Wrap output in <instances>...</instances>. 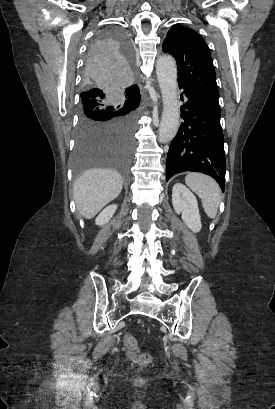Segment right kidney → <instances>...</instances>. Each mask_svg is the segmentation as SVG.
Returning <instances> with one entry per match:
<instances>
[{"label": "right kidney", "mask_w": 275, "mask_h": 409, "mask_svg": "<svg viewBox=\"0 0 275 409\" xmlns=\"http://www.w3.org/2000/svg\"><path fill=\"white\" fill-rule=\"evenodd\" d=\"M116 209H117V205H109V207H106V209H103V211H101L100 215H98L95 221L96 225H100L101 227V225H106V223H109Z\"/></svg>", "instance_id": "1"}]
</instances>
